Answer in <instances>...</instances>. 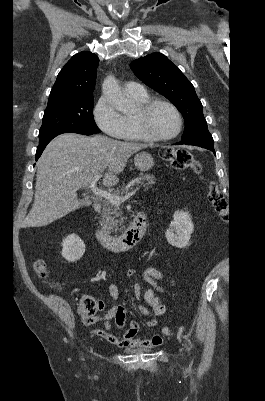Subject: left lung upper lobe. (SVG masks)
Listing matches in <instances>:
<instances>
[{"label": "left lung upper lobe", "instance_id": "1", "mask_svg": "<svg viewBox=\"0 0 265 401\" xmlns=\"http://www.w3.org/2000/svg\"><path fill=\"white\" fill-rule=\"evenodd\" d=\"M130 68L143 83L168 98L182 113V140L209 132L202 104L190 81L166 56L153 53L131 62Z\"/></svg>", "mask_w": 265, "mask_h": 401}]
</instances>
